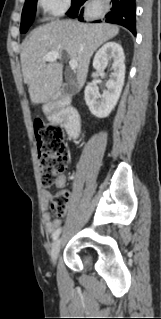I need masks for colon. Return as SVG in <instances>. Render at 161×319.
<instances>
[{
    "label": "colon",
    "mask_w": 161,
    "mask_h": 319,
    "mask_svg": "<svg viewBox=\"0 0 161 319\" xmlns=\"http://www.w3.org/2000/svg\"><path fill=\"white\" fill-rule=\"evenodd\" d=\"M36 135L41 183L45 187H50L68 166V149L58 124H44L38 121ZM69 202V193L59 190L52 198L51 206L55 213L61 215L66 212Z\"/></svg>",
    "instance_id": "5ec220e1"
}]
</instances>
